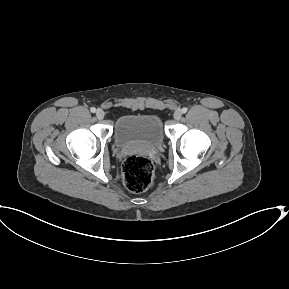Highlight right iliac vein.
Masks as SVG:
<instances>
[{"mask_svg":"<svg viewBox=\"0 0 289 289\" xmlns=\"http://www.w3.org/2000/svg\"><path fill=\"white\" fill-rule=\"evenodd\" d=\"M96 116H97L98 119H103L104 116H105V113H104V111L102 109H98L96 111Z\"/></svg>","mask_w":289,"mask_h":289,"instance_id":"63e3f726","label":"right iliac vein"}]
</instances>
